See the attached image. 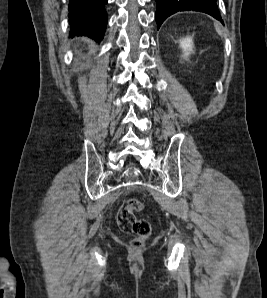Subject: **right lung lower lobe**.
<instances>
[{"mask_svg": "<svg viewBox=\"0 0 267 298\" xmlns=\"http://www.w3.org/2000/svg\"><path fill=\"white\" fill-rule=\"evenodd\" d=\"M106 3L107 0H70V35H84L101 41L107 25Z\"/></svg>", "mask_w": 267, "mask_h": 298, "instance_id": "right-lung-lower-lobe-1", "label": "right lung lower lobe"}]
</instances>
